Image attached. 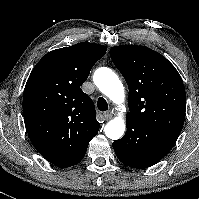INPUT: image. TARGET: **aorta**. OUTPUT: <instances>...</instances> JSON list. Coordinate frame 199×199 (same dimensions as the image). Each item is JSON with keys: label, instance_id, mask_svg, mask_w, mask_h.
I'll use <instances>...</instances> for the list:
<instances>
[{"label": "aorta", "instance_id": "obj_1", "mask_svg": "<svg viewBox=\"0 0 199 199\" xmlns=\"http://www.w3.org/2000/svg\"><path fill=\"white\" fill-rule=\"evenodd\" d=\"M94 82L99 90L116 104L124 101V86L117 74L109 68H100L95 72ZM125 131V122L123 117L119 116L109 121L104 132L112 140L120 139Z\"/></svg>", "mask_w": 199, "mask_h": 199}]
</instances>
